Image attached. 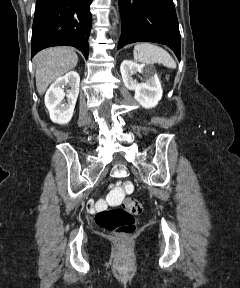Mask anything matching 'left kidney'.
I'll return each mask as SVG.
<instances>
[{"label": "left kidney", "mask_w": 240, "mask_h": 288, "mask_svg": "<svg viewBox=\"0 0 240 288\" xmlns=\"http://www.w3.org/2000/svg\"><path fill=\"white\" fill-rule=\"evenodd\" d=\"M123 82L127 89L135 91L134 99L144 108H153L162 98L163 90L155 69L124 60L120 66ZM141 73L145 82L138 83L133 75Z\"/></svg>", "instance_id": "left-kidney-1"}]
</instances>
